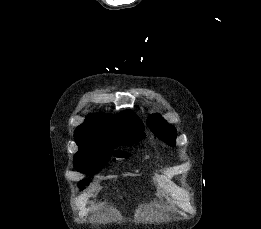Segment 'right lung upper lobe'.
<instances>
[{
	"mask_svg": "<svg viewBox=\"0 0 261 229\" xmlns=\"http://www.w3.org/2000/svg\"><path fill=\"white\" fill-rule=\"evenodd\" d=\"M128 125H142L138 116L126 110L117 115L90 114L85 123L75 130V140L79 148H111L126 145L119 129Z\"/></svg>",
	"mask_w": 261,
	"mask_h": 229,
	"instance_id": "1",
	"label": "right lung upper lobe"
}]
</instances>
